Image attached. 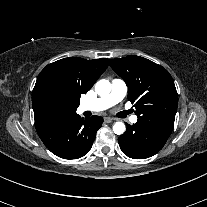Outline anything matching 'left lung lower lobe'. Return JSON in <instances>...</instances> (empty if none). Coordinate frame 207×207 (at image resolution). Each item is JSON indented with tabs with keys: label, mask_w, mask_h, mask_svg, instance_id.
Returning <instances> with one entry per match:
<instances>
[{
	"label": "left lung lower lobe",
	"mask_w": 207,
	"mask_h": 207,
	"mask_svg": "<svg viewBox=\"0 0 207 207\" xmlns=\"http://www.w3.org/2000/svg\"><path fill=\"white\" fill-rule=\"evenodd\" d=\"M172 130L171 124L138 120L133 125H127L126 132L118 138V142L128 157L145 159L162 149Z\"/></svg>",
	"instance_id": "obj_1"
}]
</instances>
